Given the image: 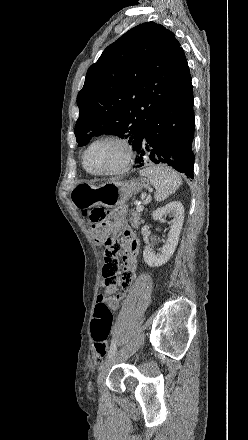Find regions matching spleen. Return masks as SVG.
<instances>
[{
    "label": "spleen",
    "mask_w": 248,
    "mask_h": 440,
    "mask_svg": "<svg viewBox=\"0 0 248 440\" xmlns=\"http://www.w3.org/2000/svg\"><path fill=\"white\" fill-rule=\"evenodd\" d=\"M139 173L141 176L147 177L154 186L156 201L165 200L182 184L181 177L175 171L161 165H152L142 169Z\"/></svg>",
    "instance_id": "obj_1"
}]
</instances>
